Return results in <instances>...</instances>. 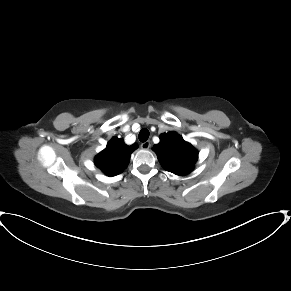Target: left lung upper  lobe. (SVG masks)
<instances>
[{
	"mask_svg": "<svg viewBox=\"0 0 291 291\" xmlns=\"http://www.w3.org/2000/svg\"><path fill=\"white\" fill-rule=\"evenodd\" d=\"M153 150L162 167L176 175L190 173L198 158L197 150L176 132L161 134L160 143Z\"/></svg>",
	"mask_w": 291,
	"mask_h": 291,
	"instance_id": "obj_1",
	"label": "left lung upper lobe"
}]
</instances>
